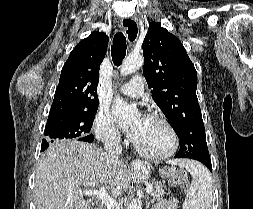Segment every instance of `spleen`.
Returning a JSON list of instances; mask_svg holds the SVG:
<instances>
[{
    "mask_svg": "<svg viewBox=\"0 0 253 209\" xmlns=\"http://www.w3.org/2000/svg\"><path fill=\"white\" fill-rule=\"evenodd\" d=\"M169 163L185 168L192 176L183 209H211L213 187L208 170L199 162L192 160H171Z\"/></svg>",
    "mask_w": 253,
    "mask_h": 209,
    "instance_id": "3e777b00",
    "label": "spleen"
}]
</instances>
